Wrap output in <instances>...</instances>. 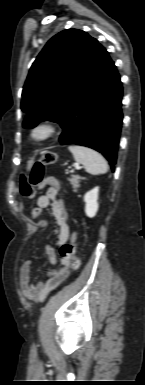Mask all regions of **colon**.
I'll return each instance as SVG.
<instances>
[{
    "label": "colon",
    "mask_w": 145,
    "mask_h": 385,
    "mask_svg": "<svg viewBox=\"0 0 145 385\" xmlns=\"http://www.w3.org/2000/svg\"><path fill=\"white\" fill-rule=\"evenodd\" d=\"M57 154L54 152H47L36 161L30 169L25 172L21 177L20 190L24 196L33 197L38 189L44 184V172L47 165L53 164L57 161ZM41 215L39 209H33V217L37 218ZM77 247L76 236L72 237L70 244H65L60 249V256L63 259H68L73 268H77L79 265L78 259L75 257V251Z\"/></svg>",
    "instance_id": "1"
}]
</instances>
